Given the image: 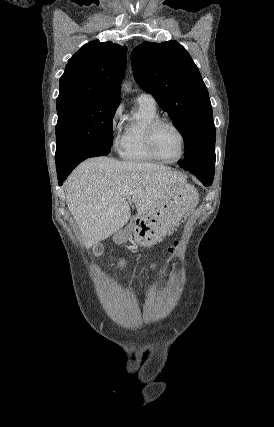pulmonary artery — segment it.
Here are the masks:
<instances>
[{"label": "pulmonary artery", "mask_w": 274, "mask_h": 427, "mask_svg": "<svg viewBox=\"0 0 274 427\" xmlns=\"http://www.w3.org/2000/svg\"><path fill=\"white\" fill-rule=\"evenodd\" d=\"M137 101L138 104L140 106H146V107H150V108H156V101L153 98L152 95L148 94V93H141L138 97H137Z\"/></svg>", "instance_id": "pulmonary-artery-1"}]
</instances>
